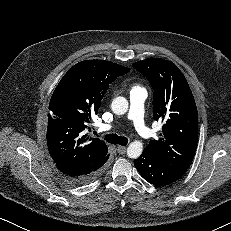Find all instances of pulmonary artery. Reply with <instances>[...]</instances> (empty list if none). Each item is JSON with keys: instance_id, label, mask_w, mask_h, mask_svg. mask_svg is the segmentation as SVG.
<instances>
[{"instance_id": "e3ab8cb5", "label": "pulmonary artery", "mask_w": 231, "mask_h": 231, "mask_svg": "<svg viewBox=\"0 0 231 231\" xmlns=\"http://www.w3.org/2000/svg\"><path fill=\"white\" fill-rule=\"evenodd\" d=\"M147 97V92L143 88L133 89L129 95V111L127 118L133 122L138 134L143 138H149L153 132L145 125L144 122V102ZM114 125H102V130L110 131Z\"/></svg>"}]
</instances>
